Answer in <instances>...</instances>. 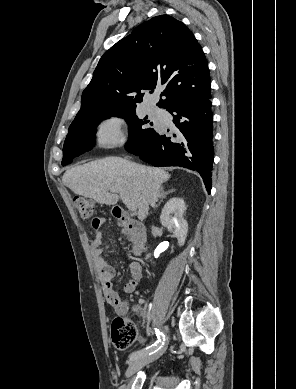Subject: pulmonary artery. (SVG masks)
<instances>
[{
  "instance_id": "pulmonary-artery-1",
  "label": "pulmonary artery",
  "mask_w": 296,
  "mask_h": 389,
  "mask_svg": "<svg viewBox=\"0 0 296 389\" xmlns=\"http://www.w3.org/2000/svg\"><path fill=\"white\" fill-rule=\"evenodd\" d=\"M154 113L158 114L159 113V110L157 108H152L151 109Z\"/></svg>"
}]
</instances>
